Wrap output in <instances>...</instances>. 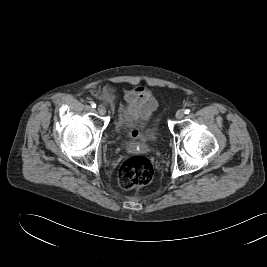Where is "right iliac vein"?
<instances>
[{"label": "right iliac vein", "mask_w": 267, "mask_h": 267, "mask_svg": "<svg viewBox=\"0 0 267 267\" xmlns=\"http://www.w3.org/2000/svg\"><path fill=\"white\" fill-rule=\"evenodd\" d=\"M97 111L100 115H104L106 113V108L103 105H99Z\"/></svg>", "instance_id": "63e3f726"}]
</instances>
